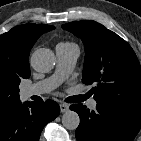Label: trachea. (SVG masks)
<instances>
[{
  "label": "trachea",
  "instance_id": "3493384b",
  "mask_svg": "<svg viewBox=\"0 0 141 141\" xmlns=\"http://www.w3.org/2000/svg\"><path fill=\"white\" fill-rule=\"evenodd\" d=\"M87 98L86 95L84 96H75V97H70L69 102L71 103H77V102H82Z\"/></svg>",
  "mask_w": 141,
  "mask_h": 141
}]
</instances>
